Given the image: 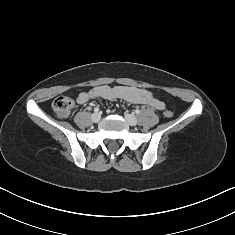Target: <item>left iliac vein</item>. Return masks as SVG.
I'll return each mask as SVG.
<instances>
[{"mask_svg":"<svg viewBox=\"0 0 235 235\" xmlns=\"http://www.w3.org/2000/svg\"><path fill=\"white\" fill-rule=\"evenodd\" d=\"M125 119L128 122V124L131 125V126H135L138 123L136 117L132 114L126 113L125 114Z\"/></svg>","mask_w":235,"mask_h":235,"instance_id":"4c4485c4","label":"left iliac vein"}]
</instances>
